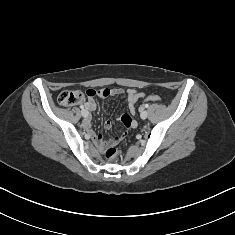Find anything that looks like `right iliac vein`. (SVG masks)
<instances>
[{"label": "right iliac vein", "mask_w": 235, "mask_h": 235, "mask_svg": "<svg viewBox=\"0 0 235 235\" xmlns=\"http://www.w3.org/2000/svg\"><path fill=\"white\" fill-rule=\"evenodd\" d=\"M82 116H83L84 118H87V117H88V112H87V111H83V112H82Z\"/></svg>", "instance_id": "right-iliac-vein-1"}]
</instances>
